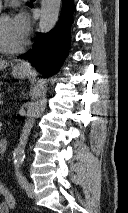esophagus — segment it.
I'll return each instance as SVG.
<instances>
[{
	"label": "esophagus",
	"instance_id": "esophagus-1",
	"mask_svg": "<svg viewBox=\"0 0 128 213\" xmlns=\"http://www.w3.org/2000/svg\"><path fill=\"white\" fill-rule=\"evenodd\" d=\"M18 67H19V68H23V69L26 68L25 65H18Z\"/></svg>",
	"mask_w": 128,
	"mask_h": 213
}]
</instances>
